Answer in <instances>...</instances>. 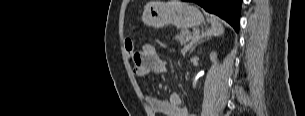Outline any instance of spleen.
Returning a JSON list of instances; mask_svg holds the SVG:
<instances>
[{
  "label": "spleen",
  "mask_w": 305,
  "mask_h": 116,
  "mask_svg": "<svg viewBox=\"0 0 305 116\" xmlns=\"http://www.w3.org/2000/svg\"><path fill=\"white\" fill-rule=\"evenodd\" d=\"M224 33V27L217 19V17H211V34L214 36H220Z\"/></svg>",
  "instance_id": "obj_1"
}]
</instances>
